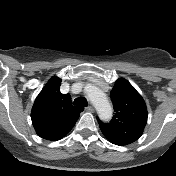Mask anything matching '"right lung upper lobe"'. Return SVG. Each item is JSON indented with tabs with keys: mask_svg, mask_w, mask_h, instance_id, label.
Here are the masks:
<instances>
[{
	"mask_svg": "<svg viewBox=\"0 0 176 176\" xmlns=\"http://www.w3.org/2000/svg\"><path fill=\"white\" fill-rule=\"evenodd\" d=\"M60 84L61 80L53 77L37 96L31 112L37 134L51 141L66 135L83 111L82 107L72 105L69 95L60 92Z\"/></svg>",
	"mask_w": 176,
	"mask_h": 176,
	"instance_id": "obj_1",
	"label": "right lung upper lobe"
}]
</instances>
